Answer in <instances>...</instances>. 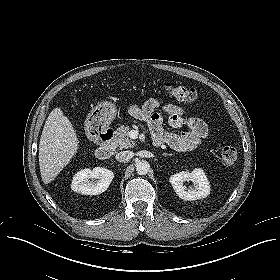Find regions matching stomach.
<instances>
[{"mask_svg": "<svg viewBox=\"0 0 280 280\" xmlns=\"http://www.w3.org/2000/svg\"><path fill=\"white\" fill-rule=\"evenodd\" d=\"M116 114V106L110 102H103L98 105L92 112L89 114L86 126L90 128L92 125H98L99 119L103 118L105 123L111 122Z\"/></svg>", "mask_w": 280, "mask_h": 280, "instance_id": "0dacf381", "label": "stomach"}]
</instances>
